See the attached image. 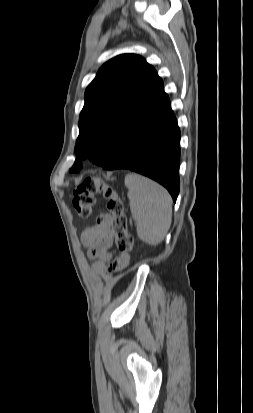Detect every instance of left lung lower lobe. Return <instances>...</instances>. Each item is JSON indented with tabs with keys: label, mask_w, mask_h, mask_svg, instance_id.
<instances>
[{
	"label": "left lung lower lobe",
	"mask_w": 253,
	"mask_h": 413,
	"mask_svg": "<svg viewBox=\"0 0 253 413\" xmlns=\"http://www.w3.org/2000/svg\"><path fill=\"white\" fill-rule=\"evenodd\" d=\"M120 131L117 154L103 169H129L148 176L167 188L175 202L179 194L180 129L163 83Z\"/></svg>",
	"instance_id": "1"
}]
</instances>
